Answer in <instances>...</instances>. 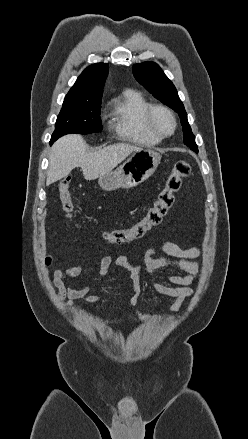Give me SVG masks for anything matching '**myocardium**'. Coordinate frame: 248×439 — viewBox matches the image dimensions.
Here are the masks:
<instances>
[{"label":"myocardium","mask_w":248,"mask_h":439,"mask_svg":"<svg viewBox=\"0 0 248 439\" xmlns=\"http://www.w3.org/2000/svg\"><path fill=\"white\" fill-rule=\"evenodd\" d=\"M160 111L166 113L172 122V129L168 133L160 131L156 126L155 115ZM146 121L150 130L162 139L173 135L177 128V120L173 111L169 107L162 104L151 105L149 107L146 114Z\"/></svg>","instance_id":"obj_1"}]
</instances>
